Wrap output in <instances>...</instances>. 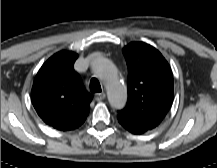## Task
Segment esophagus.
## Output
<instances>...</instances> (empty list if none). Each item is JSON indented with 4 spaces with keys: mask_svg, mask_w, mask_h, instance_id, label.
I'll list each match as a JSON object with an SVG mask.
<instances>
[{
    "mask_svg": "<svg viewBox=\"0 0 217 168\" xmlns=\"http://www.w3.org/2000/svg\"><path fill=\"white\" fill-rule=\"evenodd\" d=\"M105 97H106V95L103 92L102 93H96L94 95V98H95L96 101H102V100L105 99Z\"/></svg>",
    "mask_w": 217,
    "mask_h": 168,
    "instance_id": "obj_1",
    "label": "esophagus"
}]
</instances>
